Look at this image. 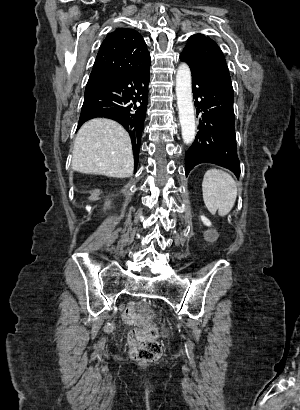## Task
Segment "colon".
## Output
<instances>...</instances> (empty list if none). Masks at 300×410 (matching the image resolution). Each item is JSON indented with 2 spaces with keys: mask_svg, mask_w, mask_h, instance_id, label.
<instances>
[{
  "mask_svg": "<svg viewBox=\"0 0 300 410\" xmlns=\"http://www.w3.org/2000/svg\"><path fill=\"white\" fill-rule=\"evenodd\" d=\"M124 316L130 327H136L128 337L131 358L142 363L157 360L162 354V346L157 340L156 323L151 322L148 306L140 302L130 303Z\"/></svg>",
  "mask_w": 300,
  "mask_h": 410,
  "instance_id": "5ec220e1",
  "label": "colon"
}]
</instances>
